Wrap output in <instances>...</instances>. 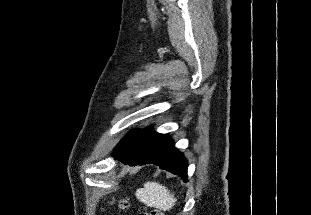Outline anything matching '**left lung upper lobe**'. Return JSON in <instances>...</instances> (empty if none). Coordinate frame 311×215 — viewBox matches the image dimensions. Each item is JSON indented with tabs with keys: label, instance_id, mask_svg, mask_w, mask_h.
<instances>
[{
	"label": "left lung upper lobe",
	"instance_id": "obj_1",
	"mask_svg": "<svg viewBox=\"0 0 311 215\" xmlns=\"http://www.w3.org/2000/svg\"><path fill=\"white\" fill-rule=\"evenodd\" d=\"M139 132L140 131L129 132L116 146L113 156H116L120 154L121 152L125 151L132 144L135 138L138 136Z\"/></svg>",
	"mask_w": 311,
	"mask_h": 215
}]
</instances>
